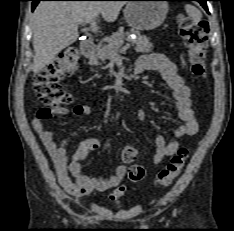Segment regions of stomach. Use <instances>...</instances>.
I'll list each match as a JSON object with an SVG mask.
<instances>
[{
  "mask_svg": "<svg viewBox=\"0 0 234 231\" xmlns=\"http://www.w3.org/2000/svg\"><path fill=\"white\" fill-rule=\"evenodd\" d=\"M168 13V3L164 0H133L126 4L124 17L130 27L137 31L158 28Z\"/></svg>",
  "mask_w": 234,
  "mask_h": 231,
  "instance_id": "obj_1",
  "label": "stomach"
}]
</instances>
